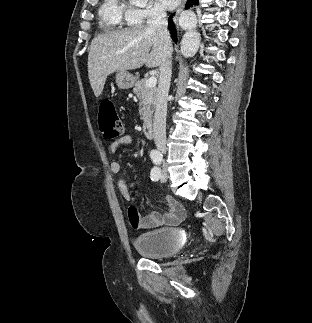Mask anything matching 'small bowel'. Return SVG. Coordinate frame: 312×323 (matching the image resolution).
Listing matches in <instances>:
<instances>
[{
    "instance_id": "1",
    "label": "small bowel",
    "mask_w": 312,
    "mask_h": 323,
    "mask_svg": "<svg viewBox=\"0 0 312 323\" xmlns=\"http://www.w3.org/2000/svg\"><path fill=\"white\" fill-rule=\"evenodd\" d=\"M132 142L130 135H122L119 138L112 141L109 145V150L115 153L119 147L129 145ZM110 171L114 174L120 172L119 162L113 161L110 164ZM117 186L125 200L131 201L132 194L124 179L119 178ZM168 204L171 210L167 213L161 214L159 212H150L146 215H140L134 208H129L128 218L131 226L139 231H148L162 226H176L183 221L185 212L183 207L177 203L173 198H168Z\"/></svg>"
}]
</instances>
